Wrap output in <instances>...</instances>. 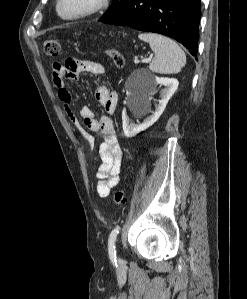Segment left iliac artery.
<instances>
[{
	"label": "left iliac artery",
	"instance_id": "obj_1",
	"mask_svg": "<svg viewBox=\"0 0 247 299\" xmlns=\"http://www.w3.org/2000/svg\"><path fill=\"white\" fill-rule=\"evenodd\" d=\"M120 232V227H116L112 230L110 233L109 239H108V251L110 259L114 262H116V250H115V241L116 237Z\"/></svg>",
	"mask_w": 247,
	"mask_h": 299
}]
</instances>
